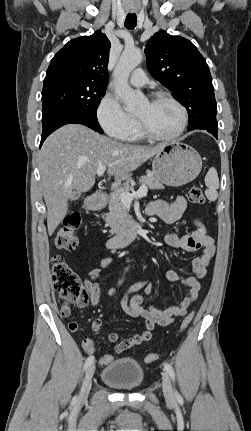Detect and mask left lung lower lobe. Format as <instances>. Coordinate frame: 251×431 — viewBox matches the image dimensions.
<instances>
[{
  "mask_svg": "<svg viewBox=\"0 0 251 431\" xmlns=\"http://www.w3.org/2000/svg\"><path fill=\"white\" fill-rule=\"evenodd\" d=\"M207 130L208 132H210L214 137L217 138V133H218V129L217 130H212V129H204Z\"/></svg>",
  "mask_w": 251,
  "mask_h": 431,
  "instance_id": "left-lung-lower-lobe-1",
  "label": "left lung lower lobe"
}]
</instances>
